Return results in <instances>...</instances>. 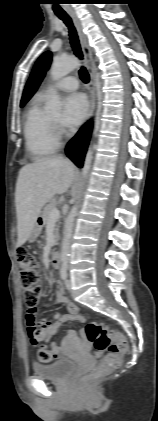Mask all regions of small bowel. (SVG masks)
<instances>
[{
	"mask_svg": "<svg viewBox=\"0 0 158 421\" xmlns=\"http://www.w3.org/2000/svg\"><path fill=\"white\" fill-rule=\"evenodd\" d=\"M55 302L65 306L67 313L63 316H56L53 321L45 322L42 327L39 326L32 311L27 315V330L32 344L37 345L41 342H47L65 322L82 320L78 307L65 296L64 286L61 282H57L55 286ZM77 340L76 333L69 330L63 338V344L51 342V351L56 357H60L64 352V345Z\"/></svg>",
	"mask_w": 158,
	"mask_h": 421,
	"instance_id": "small-bowel-1",
	"label": "small bowel"
}]
</instances>
